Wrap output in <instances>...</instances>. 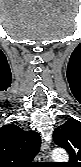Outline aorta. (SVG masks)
<instances>
[{
  "instance_id": "762f6f07",
  "label": "aorta",
  "mask_w": 81,
  "mask_h": 167,
  "mask_svg": "<svg viewBox=\"0 0 81 167\" xmlns=\"http://www.w3.org/2000/svg\"><path fill=\"white\" fill-rule=\"evenodd\" d=\"M51 157L56 162H67L68 161V155L65 150L63 149H54Z\"/></svg>"
}]
</instances>
